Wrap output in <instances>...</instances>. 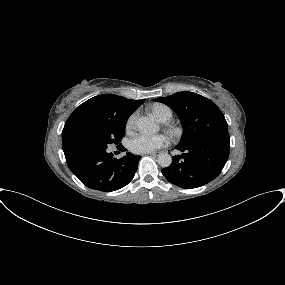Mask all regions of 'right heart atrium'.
Instances as JSON below:
<instances>
[{
  "label": "right heart atrium",
  "instance_id": "right-heart-atrium-1",
  "mask_svg": "<svg viewBox=\"0 0 285 285\" xmlns=\"http://www.w3.org/2000/svg\"><path fill=\"white\" fill-rule=\"evenodd\" d=\"M135 125H136V114H132L127 120L126 129L128 131H131L135 128Z\"/></svg>",
  "mask_w": 285,
  "mask_h": 285
}]
</instances>
